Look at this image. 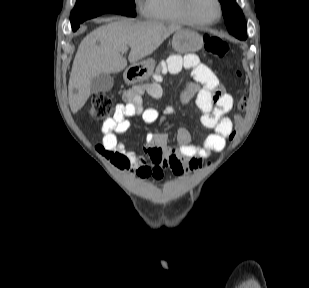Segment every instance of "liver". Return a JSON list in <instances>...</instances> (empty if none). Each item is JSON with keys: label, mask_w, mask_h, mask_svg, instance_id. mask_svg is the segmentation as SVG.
I'll return each mask as SVG.
<instances>
[{"label": "liver", "mask_w": 309, "mask_h": 288, "mask_svg": "<svg viewBox=\"0 0 309 288\" xmlns=\"http://www.w3.org/2000/svg\"><path fill=\"white\" fill-rule=\"evenodd\" d=\"M180 28L156 21L118 19L90 32L78 47L70 73L68 101L72 113H77L87 102L94 77L126 68L127 60L121 55L123 48H131L128 61L135 64Z\"/></svg>", "instance_id": "liver-1"}]
</instances>
